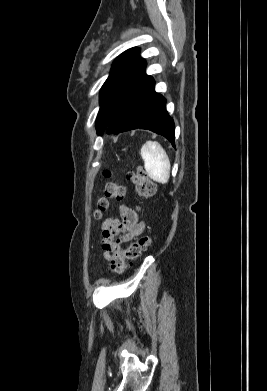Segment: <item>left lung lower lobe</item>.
<instances>
[{
    "mask_svg": "<svg viewBox=\"0 0 267 391\" xmlns=\"http://www.w3.org/2000/svg\"><path fill=\"white\" fill-rule=\"evenodd\" d=\"M154 85V79L145 76L128 93L106 128L108 134L145 129L164 136L175 147L173 119L165 109L166 99L155 92Z\"/></svg>",
    "mask_w": 267,
    "mask_h": 391,
    "instance_id": "obj_1",
    "label": "left lung lower lobe"
}]
</instances>
